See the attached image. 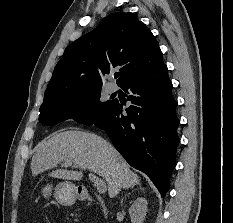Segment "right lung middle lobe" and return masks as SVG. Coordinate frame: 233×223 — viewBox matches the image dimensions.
<instances>
[{
    "label": "right lung middle lobe",
    "instance_id": "dd1d6c3e",
    "mask_svg": "<svg viewBox=\"0 0 233 223\" xmlns=\"http://www.w3.org/2000/svg\"><path fill=\"white\" fill-rule=\"evenodd\" d=\"M100 94L101 88H96L42 105L40 120L44 126H53L67 119L89 125L103 109L114 103L113 100L100 101Z\"/></svg>",
    "mask_w": 233,
    "mask_h": 223
}]
</instances>
